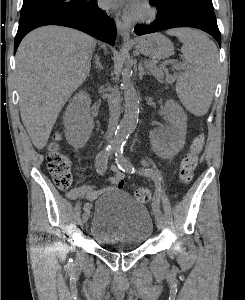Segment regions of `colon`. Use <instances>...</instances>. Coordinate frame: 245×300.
<instances>
[{"label": "colon", "mask_w": 245, "mask_h": 300, "mask_svg": "<svg viewBox=\"0 0 245 300\" xmlns=\"http://www.w3.org/2000/svg\"><path fill=\"white\" fill-rule=\"evenodd\" d=\"M204 135L198 134L191 142L189 150L184 155L180 168L179 178L182 183H189L198 164L199 155L204 145ZM48 169L55 185L60 189H67L72 183V166L68 156L60 150L57 143L50 146L47 155ZM134 197L141 203H147L151 199V191L141 187L135 190Z\"/></svg>", "instance_id": "colon-1"}]
</instances>
